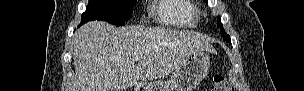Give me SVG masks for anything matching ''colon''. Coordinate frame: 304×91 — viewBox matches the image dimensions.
Returning a JSON list of instances; mask_svg holds the SVG:
<instances>
[{
  "mask_svg": "<svg viewBox=\"0 0 304 91\" xmlns=\"http://www.w3.org/2000/svg\"><path fill=\"white\" fill-rule=\"evenodd\" d=\"M213 91H231L233 90L229 82L225 77L221 75H215L213 79V85L211 87Z\"/></svg>",
  "mask_w": 304,
  "mask_h": 91,
  "instance_id": "obj_1",
  "label": "colon"
}]
</instances>
